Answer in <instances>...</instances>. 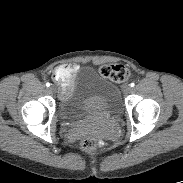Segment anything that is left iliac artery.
<instances>
[{
	"instance_id": "1",
	"label": "left iliac artery",
	"mask_w": 183,
	"mask_h": 183,
	"mask_svg": "<svg viewBox=\"0 0 183 183\" xmlns=\"http://www.w3.org/2000/svg\"><path fill=\"white\" fill-rule=\"evenodd\" d=\"M130 86H131V87H134V86H135V84H134V83H131V84H130Z\"/></svg>"
}]
</instances>
